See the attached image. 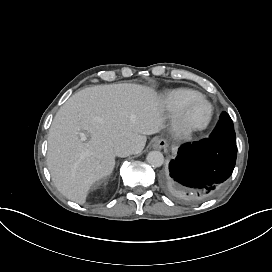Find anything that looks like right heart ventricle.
I'll return each instance as SVG.
<instances>
[{
  "mask_svg": "<svg viewBox=\"0 0 272 272\" xmlns=\"http://www.w3.org/2000/svg\"><path fill=\"white\" fill-rule=\"evenodd\" d=\"M199 92L193 88H177L165 94V102L171 109H177L179 105L190 98L197 96Z\"/></svg>",
  "mask_w": 272,
  "mask_h": 272,
  "instance_id": "obj_1",
  "label": "right heart ventricle"
}]
</instances>
